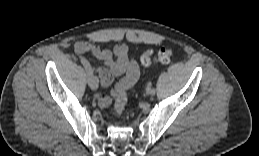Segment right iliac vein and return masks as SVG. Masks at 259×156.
<instances>
[{
    "mask_svg": "<svg viewBox=\"0 0 259 156\" xmlns=\"http://www.w3.org/2000/svg\"><path fill=\"white\" fill-rule=\"evenodd\" d=\"M89 86L92 90H96L98 88V82L95 76H93L92 80L89 83Z\"/></svg>",
    "mask_w": 259,
    "mask_h": 156,
    "instance_id": "63e3f726",
    "label": "right iliac vein"
}]
</instances>
